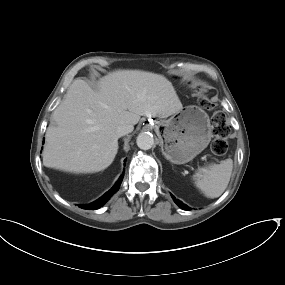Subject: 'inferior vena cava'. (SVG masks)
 I'll return each mask as SVG.
<instances>
[{"mask_svg": "<svg viewBox=\"0 0 285 285\" xmlns=\"http://www.w3.org/2000/svg\"><path fill=\"white\" fill-rule=\"evenodd\" d=\"M134 129L133 125L131 124H124L121 126H118L116 129V134L118 137H122L130 132H132Z\"/></svg>", "mask_w": 285, "mask_h": 285, "instance_id": "obj_1", "label": "inferior vena cava"}]
</instances>
